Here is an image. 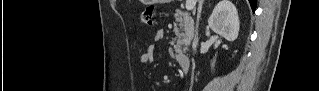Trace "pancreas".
<instances>
[{
    "label": "pancreas",
    "mask_w": 319,
    "mask_h": 91,
    "mask_svg": "<svg viewBox=\"0 0 319 91\" xmlns=\"http://www.w3.org/2000/svg\"><path fill=\"white\" fill-rule=\"evenodd\" d=\"M175 20L178 23V28L175 29L176 38L173 41V46L170 49V56L176 60L183 57L187 50V46L194 34L193 22L190 16L185 12L178 10L175 14Z\"/></svg>",
    "instance_id": "pancreas-1"
}]
</instances>
